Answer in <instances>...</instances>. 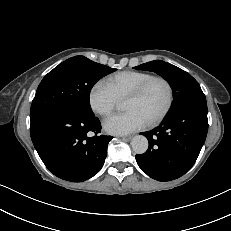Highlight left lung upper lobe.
Segmentation results:
<instances>
[{"label": "left lung upper lobe", "instance_id": "5c2ea615", "mask_svg": "<svg viewBox=\"0 0 231 231\" xmlns=\"http://www.w3.org/2000/svg\"><path fill=\"white\" fill-rule=\"evenodd\" d=\"M134 68L138 70L153 71L169 82L173 91L174 99L170 112L174 111L188 98L204 95L200 85L190 74L170 63L155 60Z\"/></svg>", "mask_w": 231, "mask_h": 231}]
</instances>
